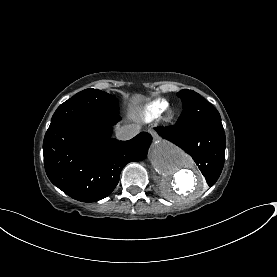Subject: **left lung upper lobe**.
<instances>
[{
  "label": "left lung upper lobe",
  "instance_id": "obj_1",
  "mask_svg": "<svg viewBox=\"0 0 277 277\" xmlns=\"http://www.w3.org/2000/svg\"><path fill=\"white\" fill-rule=\"evenodd\" d=\"M183 102V114L177 125H189L209 120H221L219 112L193 90L183 89L177 93Z\"/></svg>",
  "mask_w": 277,
  "mask_h": 277
}]
</instances>
